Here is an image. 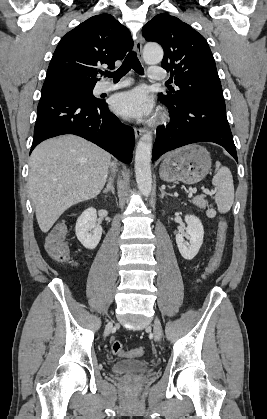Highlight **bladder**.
Instances as JSON below:
<instances>
[{
	"mask_svg": "<svg viewBox=\"0 0 267 419\" xmlns=\"http://www.w3.org/2000/svg\"><path fill=\"white\" fill-rule=\"evenodd\" d=\"M150 370V366L143 360H120L111 365V372L114 374L123 373H144Z\"/></svg>",
	"mask_w": 267,
	"mask_h": 419,
	"instance_id": "obj_1",
	"label": "bladder"
}]
</instances>
